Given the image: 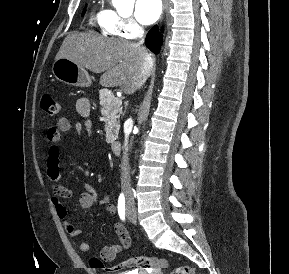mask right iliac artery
<instances>
[{
    "label": "right iliac artery",
    "mask_w": 289,
    "mask_h": 274,
    "mask_svg": "<svg viewBox=\"0 0 289 274\" xmlns=\"http://www.w3.org/2000/svg\"><path fill=\"white\" fill-rule=\"evenodd\" d=\"M118 214L121 220H125V198L123 193L120 194L118 199Z\"/></svg>",
    "instance_id": "82829eb1"
}]
</instances>
